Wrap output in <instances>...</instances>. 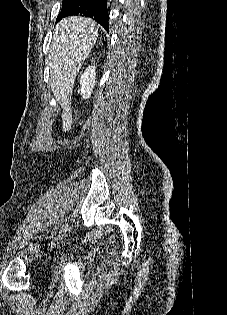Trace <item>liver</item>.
<instances>
[{
  "label": "liver",
  "mask_w": 227,
  "mask_h": 315,
  "mask_svg": "<svg viewBox=\"0 0 227 315\" xmlns=\"http://www.w3.org/2000/svg\"><path fill=\"white\" fill-rule=\"evenodd\" d=\"M98 29L95 21L80 16L64 18L55 28L48 65L52 92L64 110V131H68L73 123L70 109L73 85L96 43Z\"/></svg>",
  "instance_id": "obj_1"
}]
</instances>
